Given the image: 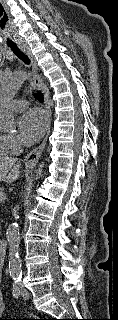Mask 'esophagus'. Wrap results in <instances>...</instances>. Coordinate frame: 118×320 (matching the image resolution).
Instances as JSON below:
<instances>
[{
	"mask_svg": "<svg viewBox=\"0 0 118 320\" xmlns=\"http://www.w3.org/2000/svg\"><path fill=\"white\" fill-rule=\"evenodd\" d=\"M21 49L26 53V55L29 57L32 63V69H33V82L35 86L40 89L44 94L45 99V107L47 112V118H48V127H47V133L45 138L43 139L42 143L34 148L27 156L25 157V164L26 167H33L38 162L39 158L42 155V152L46 146L48 136L50 134V124H51V108H50V94L47 86L44 84V82L37 76L38 72V66L36 59L34 55L32 54L30 47L27 44H23L20 46Z\"/></svg>",
	"mask_w": 118,
	"mask_h": 320,
	"instance_id": "esophagus-1",
	"label": "esophagus"
}]
</instances>
